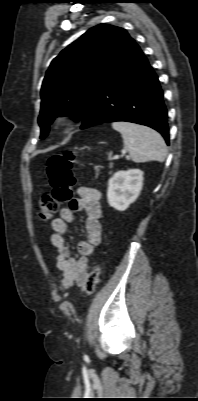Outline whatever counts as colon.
I'll list each match as a JSON object with an SVG mask.
<instances>
[{
    "instance_id": "1",
    "label": "colon",
    "mask_w": 198,
    "mask_h": 401,
    "mask_svg": "<svg viewBox=\"0 0 198 401\" xmlns=\"http://www.w3.org/2000/svg\"><path fill=\"white\" fill-rule=\"evenodd\" d=\"M73 155L65 153L49 158L46 173L52 187L51 194L43 195L39 200V215L43 220L50 219L59 209L61 203L73 200L75 178L72 172ZM101 281V267L96 266L85 284L88 294H93Z\"/></svg>"
}]
</instances>
